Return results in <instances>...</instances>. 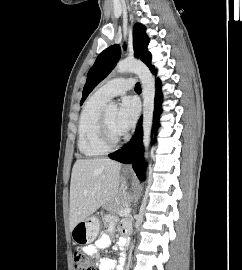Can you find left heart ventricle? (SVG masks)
<instances>
[{"label": "left heart ventricle", "mask_w": 242, "mask_h": 270, "mask_svg": "<svg viewBox=\"0 0 242 270\" xmlns=\"http://www.w3.org/2000/svg\"><path fill=\"white\" fill-rule=\"evenodd\" d=\"M106 115H107V121H108L113 137L115 139L119 138L121 135L124 134V132L119 128L117 124L118 112L116 110H109V111H106Z\"/></svg>", "instance_id": "b2bd125f"}]
</instances>
